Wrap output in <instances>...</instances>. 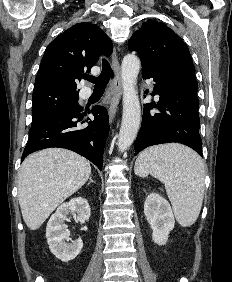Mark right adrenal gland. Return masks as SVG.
<instances>
[{
	"mask_svg": "<svg viewBox=\"0 0 232 282\" xmlns=\"http://www.w3.org/2000/svg\"><path fill=\"white\" fill-rule=\"evenodd\" d=\"M89 180H90V181H89L88 184H87L88 186L90 185V183H95V182L92 180V176L89 178Z\"/></svg>",
	"mask_w": 232,
	"mask_h": 282,
	"instance_id": "2a0ac1e0",
	"label": "right adrenal gland"
}]
</instances>
